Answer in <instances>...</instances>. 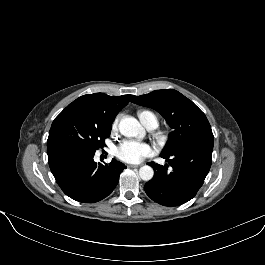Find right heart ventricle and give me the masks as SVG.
Listing matches in <instances>:
<instances>
[{"instance_id": "obj_1", "label": "right heart ventricle", "mask_w": 265, "mask_h": 265, "mask_svg": "<svg viewBox=\"0 0 265 265\" xmlns=\"http://www.w3.org/2000/svg\"><path fill=\"white\" fill-rule=\"evenodd\" d=\"M138 117L144 125H146L147 122L150 120H154L155 125L156 126L158 125V119H157L156 115L154 113H152L151 111L140 110V111H138Z\"/></svg>"}]
</instances>
